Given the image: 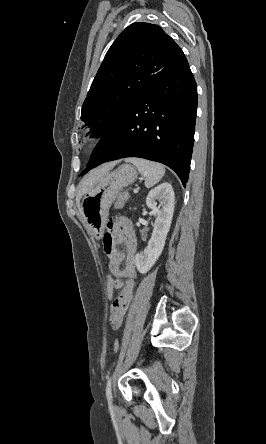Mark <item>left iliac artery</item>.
<instances>
[{"mask_svg": "<svg viewBox=\"0 0 266 444\" xmlns=\"http://www.w3.org/2000/svg\"><path fill=\"white\" fill-rule=\"evenodd\" d=\"M106 397H107L108 402L111 403L112 402V377H110L107 382Z\"/></svg>", "mask_w": 266, "mask_h": 444, "instance_id": "1", "label": "left iliac artery"}]
</instances>
